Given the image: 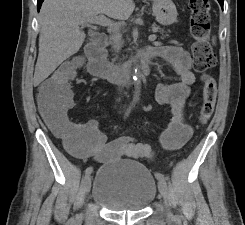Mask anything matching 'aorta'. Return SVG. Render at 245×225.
Instances as JSON below:
<instances>
[{"label":"aorta","instance_id":"762f6f07","mask_svg":"<svg viewBox=\"0 0 245 225\" xmlns=\"http://www.w3.org/2000/svg\"><path fill=\"white\" fill-rule=\"evenodd\" d=\"M141 75L140 72L135 70V76H134V81H135V92H134V100H139L140 96V89H141Z\"/></svg>","mask_w":245,"mask_h":225}]
</instances>
